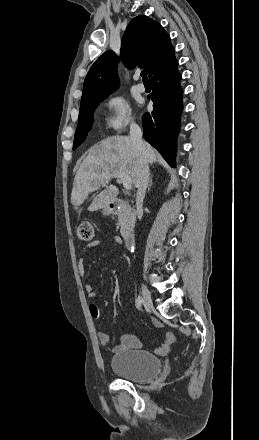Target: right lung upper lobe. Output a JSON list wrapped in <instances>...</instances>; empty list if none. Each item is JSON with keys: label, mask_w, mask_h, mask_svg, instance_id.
<instances>
[{"label": "right lung upper lobe", "mask_w": 259, "mask_h": 440, "mask_svg": "<svg viewBox=\"0 0 259 440\" xmlns=\"http://www.w3.org/2000/svg\"><path fill=\"white\" fill-rule=\"evenodd\" d=\"M172 56L174 48L161 24L145 15L132 19L121 43V58L126 66L146 68L150 77ZM117 60L113 51H106L95 61L84 81L81 105L107 97L117 89Z\"/></svg>", "instance_id": "right-lung-upper-lobe-1"}]
</instances>
